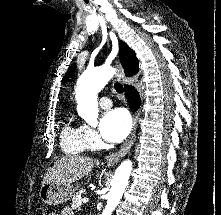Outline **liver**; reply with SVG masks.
<instances>
[{
    "mask_svg": "<svg viewBox=\"0 0 221 215\" xmlns=\"http://www.w3.org/2000/svg\"><path fill=\"white\" fill-rule=\"evenodd\" d=\"M95 160L86 156L67 155L56 160L53 167L48 169L42 186L49 183L71 185L91 172Z\"/></svg>",
    "mask_w": 221,
    "mask_h": 215,
    "instance_id": "obj_1",
    "label": "liver"
}]
</instances>
